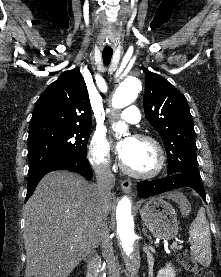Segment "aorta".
I'll return each mask as SVG.
<instances>
[{
    "mask_svg": "<svg viewBox=\"0 0 221 277\" xmlns=\"http://www.w3.org/2000/svg\"><path fill=\"white\" fill-rule=\"evenodd\" d=\"M140 89L141 82L138 78L127 77L115 90L112 106L124 108L130 105L136 99ZM113 129L116 133L122 134L127 131V126L125 122L119 121ZM113 233L126 264L133 269L136 268L140 260L139 242L132 215V202L127 196L122 197L117 203Z\"/></svg>",
    "mask_w": 221,
    "mask_h": 277,
    "instance_id": "obj_1",
    "label": "aorta"
}]
</instances>
